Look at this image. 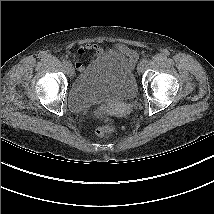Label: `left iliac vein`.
<instances>
[{
    "label": "left iliac vein",
    "mask_w": 214,
    "mask_h": 214,
    "mask_svg": "<svg viewBox=\"0 0 214 214\" xmlns=\"http://www.w3.org/2000/svg\"><path fill=\"white\" fill-rule=\"evenodd\" d=\"M144 70V63L141 61L137 66V71L142 72Z\"/></svg>",
    "instance_id": "4c4485c4"
}]
</instances>
